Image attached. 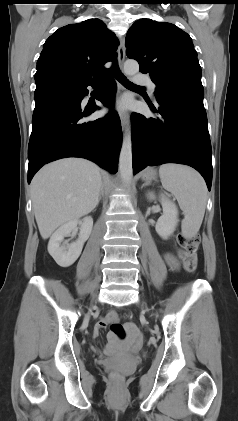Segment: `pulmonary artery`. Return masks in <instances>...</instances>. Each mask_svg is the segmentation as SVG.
Masks as SVG:
<instances>
[{
	"label": "pulmonary artery",
	"instance_id": "pulmonary-artery-1",
	"mask_svg": "<svg viewBox=\"0 0 238 421\" xmlns=\"http://www.w3.org/2000/svg\"><path fill=\"white\" fill-rule=\"evenodd\" d=\"M134 80L137 84L146 85L149 88L151 94H154L156 85L153 82H151V80L148 77L137 75L135 76Z\"/></svg>",
	"mask_w": 238,
	"mask_h": 421
}]
</instances>
